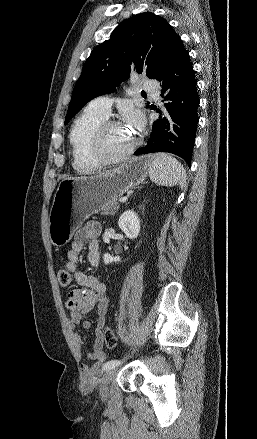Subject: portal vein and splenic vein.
<instances>
[{
    "instance_id": "portal-vein-and-splenic-vein-1",
    "label": "portal vein and splenic vein",
    "mask_w": 257,
    "mask_h": 439,
    "mask_svg": "<svg viewBox=\"0 0 257 439\" xmlns=\"http://www.w3.org/2000/svg\"><path fill=\"white\" fill-rule=\"evenodd\" d=\"M127 200V197H122L119 199L120 202H125Z\"/></svg>"
}]
</instances>
